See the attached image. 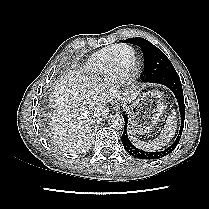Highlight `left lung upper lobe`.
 <instances>
[{"mask_svg": "<svg viewBox=\"0 0 209 209\" xmlns=\"http://www.w3.org/2000/svg\"><path fill=\"white\" fill-rule=\"evenodd\" d=\"M124 42L139 46L143 52L145 65L144 73L141 77L142 81L148 82L161 73L175 70L167 56L159 48L151 44L148 40L136 37L129 38Z\"/></svg>", "mask_w": 209, "mask_h": 209, "instance_id": "1", "label": "left lung upper lobe"}]
</instances>
